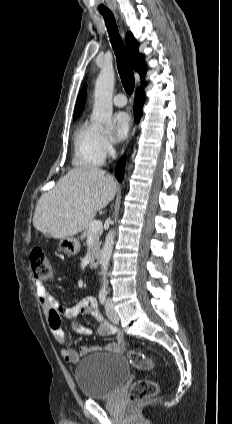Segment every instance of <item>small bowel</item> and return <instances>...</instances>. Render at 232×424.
Here are the masks:
<instances>
[{"label": "small bowel", "instance_id": "obj_1", "mask_svg": "<svg viewBox=\"0 0 232 424\" xmlns=\"http://www.w3.org/2000/svg\"><path fill=\"white\" fill-rule=\"evenodd\" d=\"M36 294L41 308L48 316V325L53 333L55 341L61 346L62 357L70 363H77L82 356H86L93 352L104 351L109 353H121L124 351L125 345L123 335L117 328L106 321L97 310L94 298L87 297L73 306L61 307L57 304L56 298L52 291L42 284L35 281ZM87 315L91 317L98 325V334L101 336L116 335L117 339L106 346H82L78 351L68 347L67 336L62 326L63 319L68 320L75 332L81 335H89L90 329L81 325L77 320L79 315Z\"/></svg>", "mask_w": 232, "mask_h": 424}]
</instances>
